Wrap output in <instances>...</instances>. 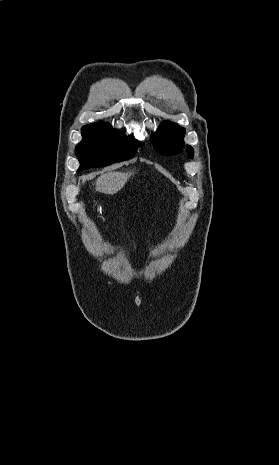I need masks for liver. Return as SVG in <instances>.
Returning a JSON list of instances; mask_svg holds the SVG:
<instances>
[{
    "mask_svg": "<svg viewBox=\"0 0 279 465\" xmlns=\"http://www.w3.org/2000/svg\"><path fill=\"white\" fill-rule=\"evenodd\" d=\"M132 172H108L102 174L95 182V190L104 194H114L119 191L131 177Z\"/></svg>",
    "mask_w": 279,
    "mask_h": 465,
    "instance_id": "obj_1",
    "label": "liver"
}]
</instances>
